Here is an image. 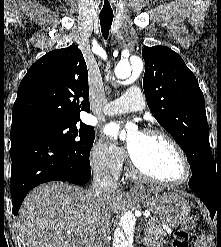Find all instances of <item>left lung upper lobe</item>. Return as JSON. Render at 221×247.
I'll use <instances>...</instances> for the list:
<instances>
[{
    "mask_svg": "<svg viewBox=\"0 0 221 247\" xmlns=\"http://www.w3.org/2000/svg\"><path fill=\"white\" fill-rule=\"evenodd\" d=\"M143 88L159 124L187 156L191 170L213 159L204 96L183 59L165 46L144 47Z\"/></svg>",
    "mask_w": 221,
    "mask_h": 247,
    "instance_id": "1",
    "label": "left lung upper lobe"
}]
</instances>
